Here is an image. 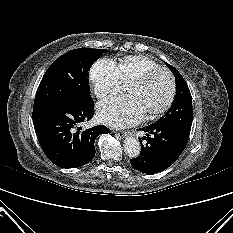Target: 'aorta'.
<instances>
[{"label": "aorta", "instance_id": "762f6f07", "mask_svg": "<svg viewBox=\"0 0 233 233\" xmlns=\"http://www.w3.org/2000/svg\"><path fill=\"white\" fill-rule=\"evenodd\" d=\"M141 150L140 142L135 137H127L124 141V152L131 158L139 156Z\"/></svg>", "mask_w": 233, "mask_h": 233}]
</instances>
